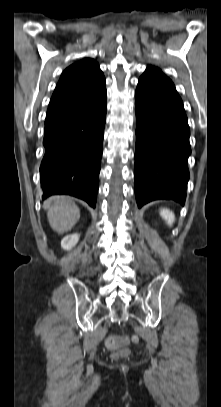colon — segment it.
<instances>
[{
  "mask_svg": "<svg viewBox=\"0 0 221 407\" xmlns=\"http://www.w3.org/2000/svg\"><path fill=\"white\" fill-rule=\"evenodd\" d=\"M132 341L136 342L137 338L132 337ZM130 342V339L128 337H124L121 340L115 338V337H110L106 340V347L109 350H116L119 345L122 344H128ZM130 354V350L128 348H123L115 353L116 357H126Z\"/></svg>",
  "mask_w": 221,
  "mask_h": 407,
  "instance_id": "obj_1",
  "label": "colon"
}]
</instances>
